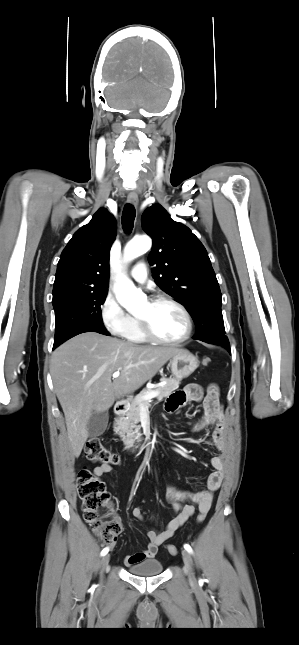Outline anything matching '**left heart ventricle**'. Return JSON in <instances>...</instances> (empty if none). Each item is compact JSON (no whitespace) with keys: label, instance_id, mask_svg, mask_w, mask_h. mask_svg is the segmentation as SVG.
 Masks as SVG:
<instances>
[{"label":"left heart ventricle","instance_id":"left-heart-ventricle-1","mask_svg":"<svg viewBox=\"0 0 299 645\" xmlns=\"http://www.w3.org/2000/svg\"><path fill=\"white\" fill-rule=\"evenodd\" d=\"M138 316L146 317L153 332L164 339H176L183 335L186 329L182 313L168 303L150 304L144 302Z\"/></svg>","mask_w":299,"mask_h":645}]
</instances>
